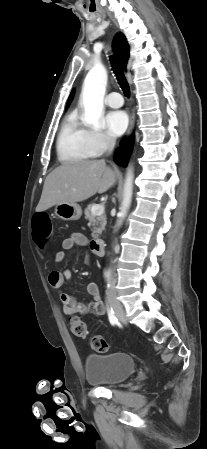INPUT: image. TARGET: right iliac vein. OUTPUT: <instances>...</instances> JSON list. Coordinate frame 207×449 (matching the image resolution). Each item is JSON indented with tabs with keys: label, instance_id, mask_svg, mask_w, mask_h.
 <instances>
[{
	"label": "right iliac vein",
	"instance_id": "63e3f726",
	"mask_svg": "<svg viewBox=\"0 0 207 449\" xmlns=\"http://www.w3.org/2000/svg\"><path fill=\"white\" fill-rule=\"evenodd\" d=\"M109 300L116 316L119 318L120 321L126 323L127 319L122 304L119 301H117L114 297H110Z\"/></svg>",
	"mask_w": 207,
	"mask_h": 449
}]
</instances>
